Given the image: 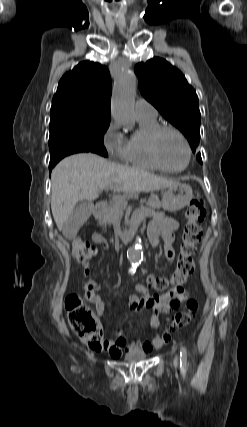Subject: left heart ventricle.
Masks as SVG:
<instances>
[{"mask_svg":"<svg viewBox=\"0 0 247 427\" xmlns=\"http://www.w3.org/2000/svg\"><path fill=\"white\" fill-rule=\"evenodd\" d=\"M161 161L169 168L179 169L187 160V152L182 140L172 132H165L158 141Z\"/></svg>","mask_w":247,"mask_h":427,"instance_id":"1","label":"left heart ventricle"}]
</instances>
